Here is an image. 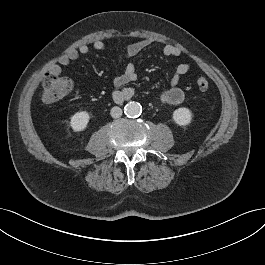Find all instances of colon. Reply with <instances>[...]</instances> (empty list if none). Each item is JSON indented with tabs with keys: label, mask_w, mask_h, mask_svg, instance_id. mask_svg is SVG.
I'll use <instances>...</instances> for the list:
<instances>
[{
	"label": "colon",
	"mask_w": 265,
	"mask_h": 265,
	"mask_svg": "<svg viewBox=\"0 0 265 265\" xmlns=\"http://www.w3.org/2000/svg\"><path fill=\"white\" fill-rule=\"evenodd\" d=\"M196 86L201 92L209 89V82L205 77L196 79ZM72 88V80L66 76L49 74L43 81L41 100L45 104H51L66 96Z\"/></svg>",
	"instance_id": "5ec220e1"
}]
</instances>
